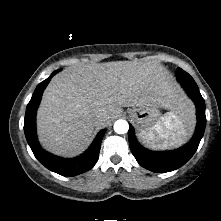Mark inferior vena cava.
I'll return each instance as SVG.
<instances>
[{
    "instance_id": "602c4592",
    "label": "inferior vena cava",
    "mask_w": 221,
    "mask_h": 221,
    "mask_svg": "<svg viewBox=\"0 0 221 221\" xmlns=\"http://www.w3.org/2000/svg\"><path fill=\"white\" fill-rule=\"evenodd\" d=\"M95 119L97 123L103 122L105 120V115L102 113H99L96 115Z\"/></svg>"
}]
</instances>
